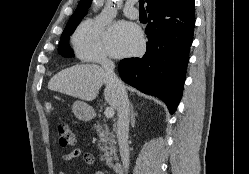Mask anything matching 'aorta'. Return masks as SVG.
<instances>
[{
	"label": "aorta",
	"mask_w": 249,
	"mask_h": 174,
	"mask_svg": "<svg viewBox=\"0 0 249 174\" xmlns=\"http://www.w3.org/2000/svg\"><path fill=\"white\" fill-rule=\"evenodd\" d=\"M103 2H104V0H94V1H93L94 9H97V8H99L100 6H102V5H103Z\"/></svg>",
	"instance_id": "aorta-1"
}]
</instances>
